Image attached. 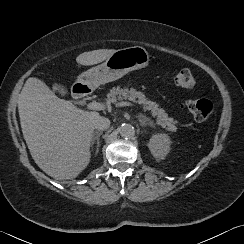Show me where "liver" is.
Returning <instances> with one entry per match:
<instances>
[{
    "label": "liver",
    "mask_w": 244,
    "mask_h": 244,
    "mask_svg": "<svg viewBox=\"0 0 244 244\" xmlns=\"http://www.w3.org/2000/svg\"><path fill=\"white\" fill-rule=\"evenodd\" d=\"M114 49L84 52L76 62L88 66L106 60ZM60 93L64 88L55 85ZM18 111L23 137L35 163L57 179L76 178L90 162L95 111L78 109L58 98L40 79L29 78L19 96Z\"/></svg>",
    "instance_id": "1"
}]
</instances>
